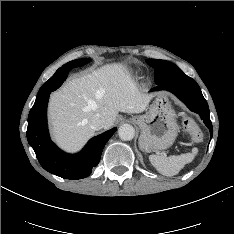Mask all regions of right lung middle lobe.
Instances as JSON below:
<instances>
[{
  "mask_svg": "<svg viewBox=\"0 0 234 234\" xmlns=\"http://www.w3.org/2000/svg\"><path fill=\"white\" fill-rule=\"evenodd\" d=\"M90 62V59H77V60H73L70 61L68 63H66L65 65H63L61 68H70L72 69L73 67H79V66H83L86 63Z\"/></svg>",
  "mask_w": 234,
  "mask_h": 234,
  "instance_id": "obj_1",
  "label": "right lung middle lobe"
}]
</instances>
